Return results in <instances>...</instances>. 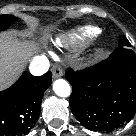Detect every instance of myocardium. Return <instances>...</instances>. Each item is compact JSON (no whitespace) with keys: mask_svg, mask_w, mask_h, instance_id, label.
<instances>
[{"mask_svg":"<svg viewBox=\"0 0 136 136\" xmlns=\"http://www.w3.org/2000/svg\"><path fill=\"white\" fill-rule=\"evenodd\" d=\"M101 52H102L101 47L96 48L94 51V54H93L94 58H98L100 56Z\"/></svg>","mask_w":136,"mask_h":136,"instance_id":"f54148a6","label":"myocardium"}]
</instances>
